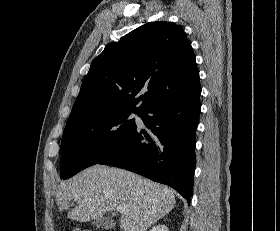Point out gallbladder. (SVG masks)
I'll return each mask as SVG.
<instances>
[{
	"label": "gallbladder",
	"instance_id": "obj_1",
	"mask_svg": "<svg viewBox=\"0 0 280 231\" xmlns=\"http://www.w3.org/2000/svg\"><path fill=\"white\" fill-rule=\"evenodd\" d=\"M92 223L95 227H101V229H111V227H115L116 225L111 217H99V219H94Z\"/></svg>",
	"mask_w": 280,
	"mask_h": 231
}]
</instances>
